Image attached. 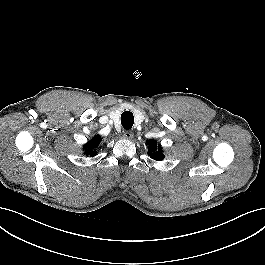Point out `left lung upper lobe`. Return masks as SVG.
I'll use <instances>...</instances> for the list:
<instances>
[{"label":"left lung upper lobe","instance_id":"obj_1","mask_svg":"<svg viewBox=\"0 0 265 265\" xmlns=\"http://www.w3.org/2000/svg\"><path fill=\"white\" fill-rule=\"evenodd\" d=\"M148 155L154 160L161 161L164 158L162 147L155 140H149Z\"/></svg>","mask_w":265,"mask_h":265}]
</instances>
